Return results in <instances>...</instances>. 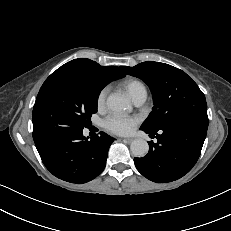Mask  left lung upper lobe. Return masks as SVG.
Returning a JSON list of instances; mask_svg holds the SVG:
<instances>
[{"instance_id": "5c2ea615", "label": "left lung upper lobe", "mask_w": 231, "mask_h": 231, "mask_svg": "<svg viewBox=\"0 0 231 231\" xmlns=\"http://www.w3.org/2000/svg\"><path fill=\"white\" fill-rule=\"evenodd\" d=\"M121 68L127 74L142 79L152 92L154 107L143 127L158 129L185 116H207L204 94L182 70L153 61Z\"/></svg>"}]
</instances>
